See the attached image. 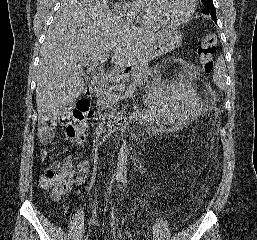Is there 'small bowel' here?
Wrapping results in <instances>:
<instances>
[{
    "mask_svg": "<svg viewBox=\"0 0 257 240\" xmlns=\"http://www.w3.org/2000/svg\"><path fill=\"white\" fill-rule=\"evenodd\" d=\"M170 60L172 61H179L177 58H171ZM39 139L40 142L44 145L49 144L52 139H53V133L52 130L45 129L44 127L41 128L40 133H39ZM48 156V151L46 149H42L40 151V157L42 160L46 159ZM89 168V161L88 160H83L81 161L78 166H77V176L75 178V185H81L86 177H87V172Z\"/></svg>",
    "mask_w": 257,
    "mask_h": 240,
    "instance_id": "obj_1",
    "label": "small bowel"
}]
</instances>
